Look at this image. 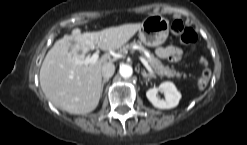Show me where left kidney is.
<instances>
[{"label":"left kidney","mask_w":247,"mask_h":145,"mask_svg":"<svg viewBox=\"0 0 247 145\" xmlns=\"http://www.w3.org/2000/svg\"><path fill=\"white\" fill-rule=\"evenodd\" d=\"M159 91H163L165 100H161L157 94ZM148 100L154 107L160 109H171L179 104L181 94L177 90L176 86L172 82H163L158 88H151L146 92Z\"/></svg>","instance_id":"obj_1"}]
</instances>
